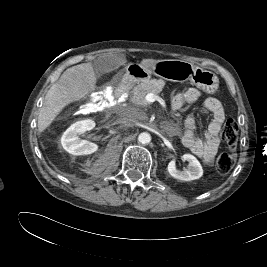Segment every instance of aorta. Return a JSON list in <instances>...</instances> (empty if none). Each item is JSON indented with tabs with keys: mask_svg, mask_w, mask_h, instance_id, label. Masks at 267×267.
<instances>
[{
	"mask_svg": "<svg viewBox=\"0 0 267 267\" xmlns=\"http://www.w3.org/2000/svg\"><path fill=\"white\" fill-rule=\"evenodd\" d=\"M138 141L141 144H148L151 141V136L147 132L140 133L138 136Z\"/></svg>",
	"mask_w": 267,
	"mask_h": 267,
	"instance_id": "obj_1",
	"label": "aorta"
}]
</instances>
